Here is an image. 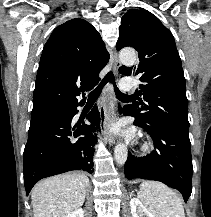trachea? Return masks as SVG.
Wrapping results in <instances>:
<instances>
[{
	"mask_svg": "<svg viewBox=\"0 0 211 217\" xmlns=\"http://www.w3.org/2000/svg\"><path fill=\"white\" fill-rule=\"evenodd\" d=\"M107 82H110V83L113 84L115 95H116L117 98H128V97H131V96H128L126 94H123L118 89V87L116 86V83H115L114 75H113L112 71H110L103 78V80L101 81V83L99 84V86L88 94V102H95L98 99V97H99V95H100L103 87L105 86V84Z\"/></svg>",
	"mask_w": 211,
	"mask_h": 217,
	"instance_id": "3493384b",
	"label": "trachea"
}]
</instances>
